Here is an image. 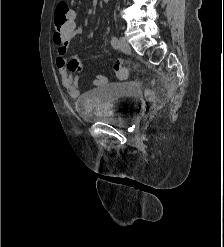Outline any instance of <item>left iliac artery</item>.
<instances>
[{
  "label": "left iliac artery",
  "mask_w": 224,
  "mask_h": 247,
  "mask_svg": "<svg viewBox=\"0 0 224 247\" xmlns=\"http://www.w3.org/2000/svg\"><path fill=\"white\" fill-rule=\"evenodd\" d=\"M111 45L113 46V48L117 49L118 45H119V41L117 39V37L113 36L111 39Z\"/></svg>",
  "instance_id": "44dca946"
}]
</instances>
